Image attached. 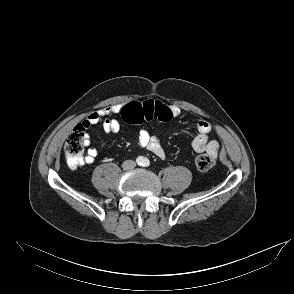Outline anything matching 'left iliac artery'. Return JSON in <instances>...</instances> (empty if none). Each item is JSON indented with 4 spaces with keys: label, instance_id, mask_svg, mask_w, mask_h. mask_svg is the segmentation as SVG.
<instances>
[{
    "label": "left iliac artery",
    "instance_id": "obj_1",
    "mask_svg": "<svg viewBox=\"0 0 294 294\" xmlns=\"http://www.w3.org/2000/svg\"><path fill=\"white\" fill-rule=\"evenodd\" d=\"M150 165V161L148 159H144L143 166L148 167Z\"/></svg>",
    "mask_w": 294,
    "mask_h": 294
}]
</instances>
